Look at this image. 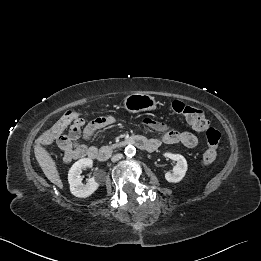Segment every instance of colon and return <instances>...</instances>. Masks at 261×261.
<instances>
[{
    "label": "colon",
    "instance_id": "5ec220e1",
    "mask_svg": "<svg viewBox=\"0 0 261 261\" xmlns=\"http://www.w3.org/2000/svg\"><path fill=\"white\" fill-rule=\"evenodd\" d=\"M171 110L185 118L187 123L198 133H205L207 148L203 154L204 164H211L215 161L218 153V146L221 138L220 132L210 127L204 112L194 106L186 105L180 101H174L171 104ZM84 127V120L80 113L68 111L59 119V121L38 138V144L48 145L54 141L64 144L78 137ZM69 128V134L63 135Z\"/></svg>",
    "mask_w": 261,
    "mask_h": 261
}]
</instances>
